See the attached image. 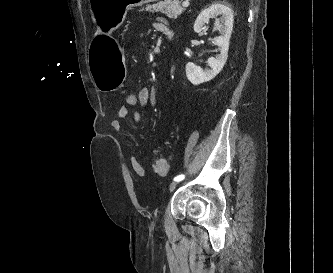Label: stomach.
Returning <instances> with one entry per match:
<instances>
[{
    "label": "stomach",
    "instance_id": "stomach-1",
    "mask_svg": "<svg viewBox=\"0 0 333 273\" xmlns=\"http://www.w3.org/2000/svg\"><path fill=\"white\" fill-rule=\"evenodd\" d=\"M156 0H90L95 22L99 23L97 39H92L89 54L90 67L95 85L101 91H114L125 80L127 58L120 53L115 32L122 28L124 14L128 9Z\"/></svg>",
    "mask_w": 333,
    "mask_h": 273
}]
</instances>
